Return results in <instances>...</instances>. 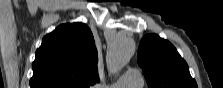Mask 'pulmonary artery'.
<instances>
[{
  "mask_svg": "<svg viewBox=\"0 0 223 88\" xmlns=\"http://www.w3.org/2000/svg\"><path fill=\"white\" fill-rule=\"evenodd\" d=\"M144 84L143 76L137 69L128 70L117 82L106 88H138Z\"/></svg>",
  "mask_w": 223,
  "mask_h": 88,
  "instance_id": "1",
  "label": "pulmonary artery"
}]
</instances>
